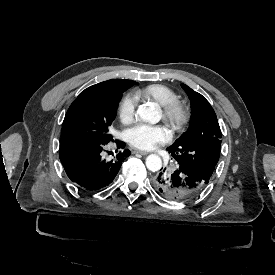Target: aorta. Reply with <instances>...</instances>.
I'll return each instance as SVG.
<instances>
[{
    "label": "aorta",
    "instance_id": "obj_1",
    "mask_svg": "<svg viewBox=\"0 0 275 275\" xmlns=\"http://www.w3.org/2000/svg\"><path fill=\"white\" fill-rule=\"evenodd\" d=\"M137 116L145 121L150 122L152 124H156L161 119V110L158 105H154L153 103H144L141 104L137 111ZM146 167L151 172H157L162 168V161L160 157L156 154H151L146 158Z\"/></svg>",
    "mask_w": 275,
    "mask_h": 275
}]
</instances>
